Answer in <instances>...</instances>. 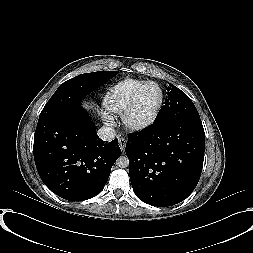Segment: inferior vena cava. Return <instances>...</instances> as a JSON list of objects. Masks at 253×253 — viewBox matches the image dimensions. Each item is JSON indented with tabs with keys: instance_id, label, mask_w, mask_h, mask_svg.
Masks as SVG:
<instances>
[{
	"instance_id": "602c4592",
	"label": "inferior vena cava",
	"mask_w": 253,
	"mask_h": 253,
	"mask_svg": "<svg viewBox=\"0 0 253 253\" xmlns=\"http://www.w3.org/2000/svg\"><path fill=\"white\" fill-rule=\"evenodd\" d=\"M97 134L103 141H112L115 138V129L113 127L103 126L98 131Z\"/></svg>"
}]
</instances>
